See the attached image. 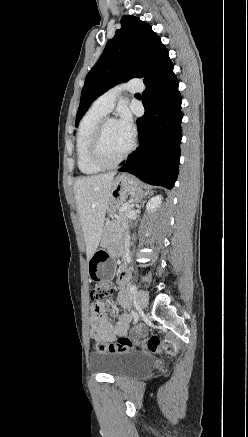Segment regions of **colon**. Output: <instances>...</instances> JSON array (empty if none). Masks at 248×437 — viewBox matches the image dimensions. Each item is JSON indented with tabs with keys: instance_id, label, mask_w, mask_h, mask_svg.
<instances>
[{
	"instance_id": "1",
	"label": "colon",
	"mask_w": 248,
	"mask_h": 437,
	"mask_svg": "<svg viewBox=\"0 0 248 437\" xmlns=\"http://www.w3.org/2000/svg\"><path fill=\"white\" fill-rule=\"evenodd\" d=\"M111 291V285L95 286L94 283L91 289V299L95 302H99L108 297ZM140 345L143 349L151 353L158 354L162 352L160 340L156 336H151L143 339L140 342ZM133 347L134 343L129 337L120 336L118 340L113 343L98 342L96 344V351L100 353H123L132 350Z\"/></svg>"
}]
</instances>
